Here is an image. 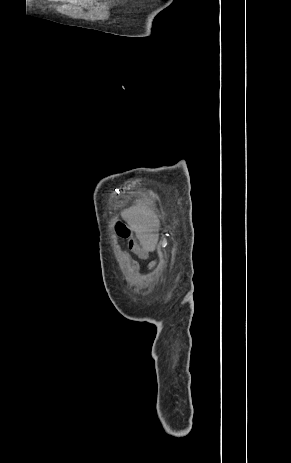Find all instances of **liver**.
<instances>
[{
	"mask_svg": "<svg viewBox=\"0 0 291 463\" xmlns=\"http://www.w3.org/2000/svg\"><path fill=\"white\" fill-rule=\"evenodd\" d=\"M145 251H153L158 242L159 220L148 201H141L121 213Z\"/></svg>",
	"mask_w": 291,
	"mask_h": 463,
	"instance_id": "obj_1",
	"label": "liver"
}]
</instances>
